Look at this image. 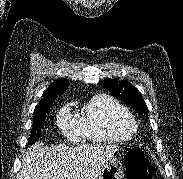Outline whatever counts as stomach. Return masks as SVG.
Instances as JSON below:
<instances>
[{
  "instance_id": "stomach-1",
  "label": "stomach",
  "mask_w": 183,
  "mask_h": 179,
  "mask_svg": "<svg viewBox=\"0 0 183 179\" xmlns=\"http://www.w3.org/2000/svg\"><path fill=\"white\" fill-rule=\"evenodd\" d=\"M98 179H124L123 164L117 158H111L104 166Z\"/></svg>"
}]
</instances>
